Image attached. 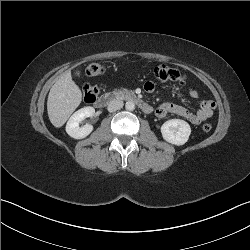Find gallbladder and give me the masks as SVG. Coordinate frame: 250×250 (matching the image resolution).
Wrapping results in <instances>:
<instances>
[{
	"instance_id": "obj_1",
	"label": "gallbladder",
	"mask_w": 250,
	"mask_h": 250,
	"mask_svg": "<svg viewBox=\"0 0 250 250\" xmlns=\"http://www.w3.org/2000/svg\"><path fill=\"white\" fill-rule=\"evenodd\" d=\"M75 75L79 77L80 76V71H76Z\"/></svg>"
}]
</instances>
